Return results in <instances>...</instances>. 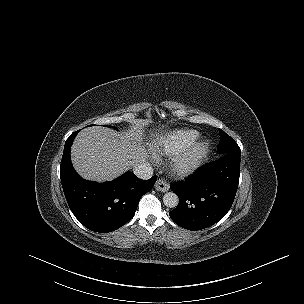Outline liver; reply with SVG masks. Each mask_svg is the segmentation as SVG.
Masks as SVG:
<instances>
[{"instance_id":"1","label":"liver","mask_w":304,"mask_h":304,"mask_svg":"<svg viewBox=\"0 0 304 304\" xmlns=\"http://www.w3.org/2000/svg\"><path fill=\"white\" fill-rule=\"evenodd\" d=\"M142 139L136 130L122 134L105 127L86 128L72 145L73 166L84 179L113 180L145 161L149 153Z\"/></svg>"}]
</instances>
